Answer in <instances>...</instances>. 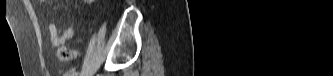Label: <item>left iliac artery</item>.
Masks as SVG:
<instances>
[{"instance_id": "44dca946", "label": "left iliac artery", "mask_w": 333, "mask_h": 76, "mask_svg": "<svg viewBox=\"0 0 333 76\" xmlns=\"http://www.w3.org/2000/svg\"><path fill=\"white\" fill-rule=\"evenodd\" d=\"M78 72H72L71 76H77Z\"/></svg>"}]
</instances>
